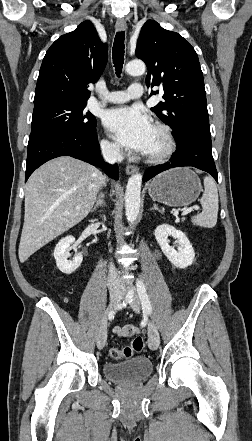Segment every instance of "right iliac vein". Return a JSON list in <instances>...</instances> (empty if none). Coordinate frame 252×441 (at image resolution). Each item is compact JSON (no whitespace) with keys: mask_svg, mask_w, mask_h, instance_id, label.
Instances as JSON below:
<instances>
[{"mask_svg":"<svg viewBox=\"0 0 252 441\" xmlns=\"http://www.w3.org/2000/svg\"><path fill=\"white\" fill-rule=\"evenodd\" d=\"M123 297V292L118 289L110 290V306L105 312V315L101 321L98 335H97V346L102 349L106 344L107 339V314L112 309L113 305L116 304Z\"/></svg>","mask_w":252,"mask_h":441,"instance_id":"1","label":"right iliac vein"}]
</instances>
